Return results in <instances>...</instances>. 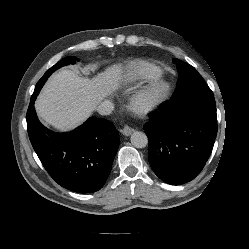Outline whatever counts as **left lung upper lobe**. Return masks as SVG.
Returning <instances> with one entry per match:
<instances>
[{
    "instance_id": "obj_1",
    "label": "left lung upper lobe",
    "mask_w": 249,
    "mask_h": 249,
    "mask_svg": "<svg viewBox=\"0 0 249 249\" xmlns=\"http://www.w3.org/2000/svg\"><path fill=\"white\" fill-rule=\"evenodd\" d=\"M173 62L177 65L179 79L168 108L179 110L188 105L215 104L211 89L195 68L176 58L173 59Z\"/></svg>"
}]
</instances>
